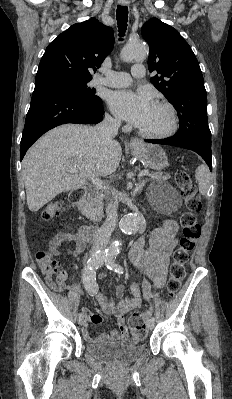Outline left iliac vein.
Returning a JSON list of instances; mask_svg holds the SVG:
<instances>
[{
	"label": "left iliac vein",
	"mask_w": 232,
	"mask_h": 399,
	"mask_svg": "<svg viewBox=\"0 0 232 399\" xmlns=\"http://www.w3.org/2000/svg\"><path fill=\"white\" fill-rule=\"evenodd\" d=\"M148 329H153L154 328V322L150 321L149 324L147 325Z\"/></svg>",
	"instance_id": "1"
}]
</instances>
